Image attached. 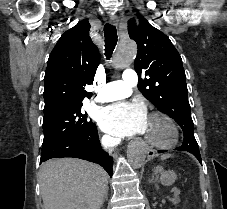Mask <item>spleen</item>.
I'll list each match as a JSON object with an SVG mask.
<instances>
[{"label": "spleen", "mask_w": 227, "mask_h": 209, "mask_svg": "<svg viewBox=\"0 0 227 209\" xmlns=\"http://www.w3.org/2000/svg\"><path fill=\"white\" fill-rule=\"evenodd\" d=\"M169 157H171V155H162L161 159L163 161V159H169Z\"/></svg>", "instance_id": "1"}]
</instances>
